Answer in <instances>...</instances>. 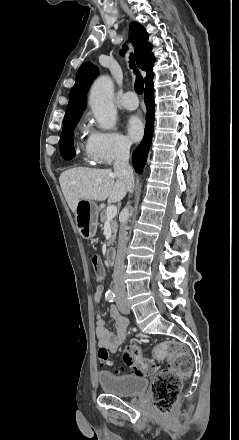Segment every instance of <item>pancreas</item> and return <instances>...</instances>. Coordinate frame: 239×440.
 Returning a JSON list of instances; mask_svg holds the SVG:
<instances>
[{
  "label": "pancreas",
  "instance_id": "cf45deb5",
  "mask_svg": "<svg viewBox=\"0 0 239 440\" xmlns=\"http://www.w3.org/2000/svg\"><path fill=\"white\" fill-rule=\"evenodd\" d=\"M100 210H101L100 222H102V224H104V222H107V216H106L107 210H104V208H100ZM110 222H111L112 236H111L110 240H108L107 246H111V244H113V242H115L116 234H117V230H118V224H117L116 220H110Z\"/></svg>",
  "mask_w": 239,
  "mask_h": 440
}]
</instances>
